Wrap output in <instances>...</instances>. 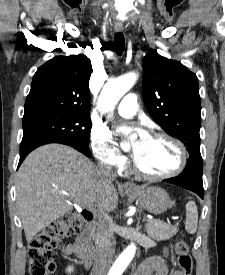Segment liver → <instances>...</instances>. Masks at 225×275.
Returning a JSON list of instances; mask_svg holds the SVG:
<instances>
[{
  "instance_id": "obj_1",
  "label": "liver",
  "mask_w": 225,
  "mask_h": 275,
  "mask_svg": "<svg viewBox=\"0 0 225 275\" xmlns=\"http://www.w3.org/2000/svg\"><path fill=\"white\" fill-rule=\"evenodd\" d=\"M17 207L30 243L38 232L73 209V203L112 211L118 203L111 181L77 150L47 144L31 152L17 173Z\"/></svg>"
}]
</instances>
